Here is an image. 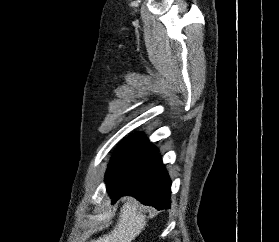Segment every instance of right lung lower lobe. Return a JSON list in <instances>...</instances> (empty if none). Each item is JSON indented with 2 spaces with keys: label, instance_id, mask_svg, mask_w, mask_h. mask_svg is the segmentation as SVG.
Masks as SVG:
<instances>
[{
  "label": "right lung lower lobe",
  "instance_id": "1",
  "mask_svg": "<svg viewBox=\"0 0 279 242\" xmlns=\"http://www.w3.org/2000/svg\"><path fill=\"white\" fill-rule=\"evenodd\" d=\"M106 187L112 204L123 196H133L158 210L170 207L171 181L152 144H147L107 178Z\"/></svg>",
  "mask_w": 279,
  "mask_h": 242
}]
</instances>
